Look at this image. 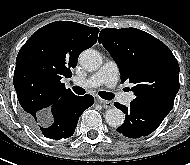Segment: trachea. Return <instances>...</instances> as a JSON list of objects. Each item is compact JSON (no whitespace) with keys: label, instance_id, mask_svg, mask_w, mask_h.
<instances>
[{"label":"trachea","instance_id":"3493384b","mask_svg":"<svg viewBox=\"0 0 190 165\" xmlns=\"http://www.w3.org/2000/svg\"><path fill=\"white\" fill-rule=\"evenodd\" d=\"M73 91L78 94V95H83L85 94V89L79 87V86H73ZM99 96L105 100H112L114 98V94L110 92H105V91H99Z\"/></svg>","mask_w":190,"mask_h":165}]
</instances>
